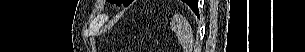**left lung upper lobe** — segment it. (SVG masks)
Instances as JSON below:
<instances>
[{
  "mask_svg": "<svg viewBox=\"0 0 305 52\" xmlns=\"http://www.w3.org/2000/svg\"><path fill=\"white\" fill-rule=\"evenodd\" d=\"M120 2H122V0H119L118 3L120 5ZM125 6H128L132 1L130 0H123ZM189 6L192 5L194 3V0H187L185 1Z\"/></svg>",
  "mask_w": 305,
  "mask_h": 52,
  "instance_id": "obj_1",
  "label": "left lung upper lobe"
}]
</instances>
